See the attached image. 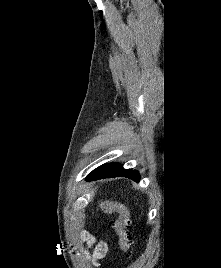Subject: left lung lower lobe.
Segmentation results:
<instances>
[{
	"instance_id": "0a47b994",
	"label": "left lung lower lobe",
	"mask_w": 221,
	"mask_h": 268,
	"mask_svg": "<svg viewBox=\"0 0 221 268\" xmlns=\"http://www.w3.org/2000/svg\"><path fill=\"white\" fill-rule=\"evenodd\" d=\"M127 177L134 181H139L140 175L137 171L134 170H126L123 169L119 164H105L98 168H96L94 171H92L88 177L87 180H97L101 178H109V177Z\"/></svg>"
}]
</instances>
